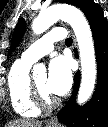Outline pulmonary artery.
<instances>
[{
  "instance_id": "pulmonary-artery-1",
  "label": "pulmonary artery",
  "mask_w": 108,
  "mask_h": 127,
  "mask_svg": "<svg viewBox=\"0 0 108 127\" xmlns=\"http://www.w3.org/2000/svg\"><path fill=\"white\" fill-rule=\"evenodd\" d=\"M65 37L66 31L63 28H55L51 30L27 48L22 54V59L34 63L39 58L52 52L54 43L63 40Z\"/></svg>"
}]
</instances>
